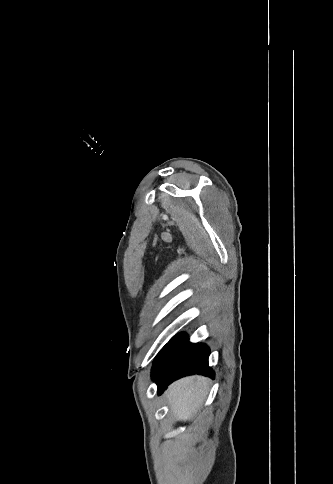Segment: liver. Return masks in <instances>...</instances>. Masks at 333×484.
Wrapping results in <instances>:
<instances>
[{
  "instance_id": "liver-1",
  "label": "liver",
  "mask_w": 333,
  "mask_h": 484,
  "mask_svg": "<svg viewBox=\"0 0 333 484\" xmlns=\"http://www.w3.org/2000/svg\"><path fill=\"white\" fill-rule=\"evenodd\" d=\"M209 382L208 378L195 375L168 387L165 397L177 420L187 422L198 413L208 394Z\"/></svg>"
}]
</instances>
